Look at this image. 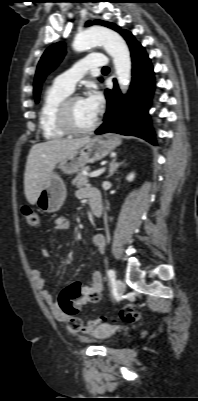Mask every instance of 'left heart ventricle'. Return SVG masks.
<instances>
[{
	"label": "left heart ventricle",
	"instance_id": "b2bd125f",
	"mask_svg": "<svg viewBox=\"0 0 198 401\" xmlns=\"http://www.w3.org/2000/svg\"><path fill=\"white\" fill-rule=\"evenodd\" d=\"M71 117L76 127L85 128L94 122L97 115L92 112L82 98L74 101L72 104Z\"/></svg>",
	"mask_w": 198,
	"mask_h": 401
}]
</instances>
